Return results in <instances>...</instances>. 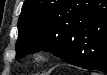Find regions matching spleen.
<instances>
[{"label": "spleen", "mask_w": 107, "mask_h": 75, "mask_svg": "<svg viewBox=\"0 0 107 75\" xmlns=\"http://www.w3.org/2000/svg\"><path fill=\"white\" fill-rule=\"evenodd\" d=\"M92 75H98L97 73H92Z\"/></svg>", "instance_id": "spleen-1"}]
</instances>
